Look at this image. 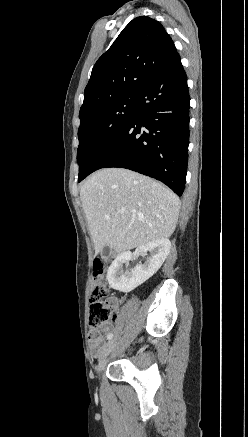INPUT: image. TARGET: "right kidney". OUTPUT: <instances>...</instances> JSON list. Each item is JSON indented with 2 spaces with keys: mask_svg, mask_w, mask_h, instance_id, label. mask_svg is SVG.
Listing matches in <instances>:
<instances>
[{
  "mask_svg": "<svg viewBox=\"0 0 248 437\" xmlns=\"http://www.w3.org/2000/svg\"><path fill=\"white\" fill-rule=\"evenodd\" d=\"M171 249L169 239L163 238L155 240L139 246L135 253L130 251L119 254L110 265L107 272V280L109 285L120 292H130L139 285L143 284L152 277L162 266ZM150 252L151 256L145 264H140L124 272L122 265L132 259H136L139 255H145Z\"/></svg>",
  "mask_w": 248,
  "mask_h": 437,
  "instance_id": "right-kidney-1",
  "label": "right kidney"
}]
</instances>
